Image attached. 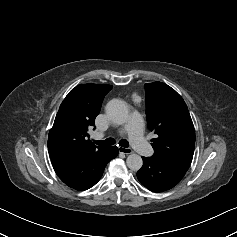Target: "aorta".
<instances>
[{
	"mask_svg": "<svg viewBox=\"0 0 237 237\" xmlns=\"http://www.w3.org/2000/svg\"><path fill=\"white\" fill-rule=\"evenodd\" d=\"M106 114L110 120L118 125L124 124L128 118V107L126 103L120 99H113L106 105ZM129 169L137 171L143 165V160L138 154H130L126 159Z\"/></svg>",
	"mask_w": 237,
	"mask_h": 237,
	"instance_id": "762f6f07",
	"label": "aorta"
}]
</instances>
